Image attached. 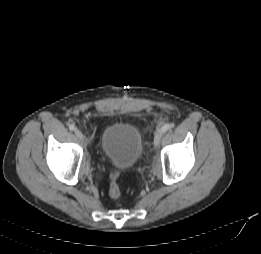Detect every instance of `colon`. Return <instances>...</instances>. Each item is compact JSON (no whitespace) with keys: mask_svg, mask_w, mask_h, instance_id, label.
Masks as SVG:
<instances>
[{"mask_svg":"<svg viewBox=\"0 0 261 254\" xmlns=\"http://www.w3.org/2000/svg\"><path fill=\"white\" fill-rule=\"evenodd\" d=\"M118 178H119V173L117 171L111 173L108 193L112 199H118L121 195V190L118 185Z\"/></svg>","mask_w":261,"mask_h":254,"instance_id":"1","label":"colon"}]
</instances>
